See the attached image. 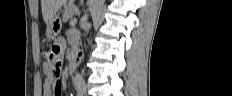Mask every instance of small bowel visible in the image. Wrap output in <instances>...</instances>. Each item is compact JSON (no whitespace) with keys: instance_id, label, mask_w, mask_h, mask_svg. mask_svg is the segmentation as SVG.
<instances>
[{"instance_id":"obj_1","label":"small bowel","mask_w":232,"mask_h":96,"mask_svg":"<svg viewBox=\"0 0 232 96\" xmlns=\"http://www.w3.org/2000/svg\"><path fill=\"white\" fill-rule=\"evenodd\" d=\"M68 35H70L71 41L73 44L82 43V38H77L76 35H80V30H68ZM62 49L65 46V40L63 38H59L56 41V44ZM45 69H48V65H45ZM62 82L60 80H56L53 76H48L44 80L42 86V95L43 96H63L61 93Z\"/></svg>"}]
</instances>
